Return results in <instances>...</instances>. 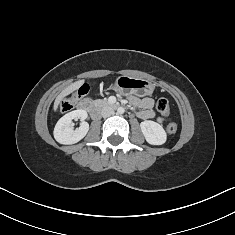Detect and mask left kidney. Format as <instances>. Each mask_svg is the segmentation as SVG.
I'll use <instances>...</instances> for the list:
<instances>
[{"label": "left kidney", "mask_w": 235, "mask_h": 235, "mask_svg": "<svg viewBox=\"0 0 235 235\" xmlns=\"http://www.w3.org/2000/svg\"><path fill=\"white\" fill-rule=\"evenodd\" d=\"M141 131L146 141L151 145H162L166 142L167 134L162 125L151 120L140 123Z\"/></svg>", "instance_id": "left-kidney-1"}]
</instances>
